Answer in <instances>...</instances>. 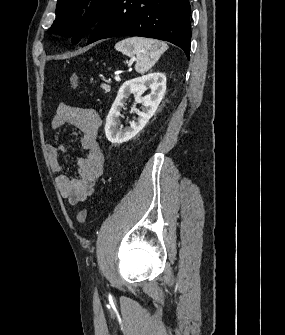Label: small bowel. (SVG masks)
<instances>
[{
    "instance_id": "small-bowel-1",
    "label": "small bowel",
    "mask_w": 285,
    "mask_h": 335,
    "mask_svg": "<svg viewBox=\"0 0 285 335\" xmlns=\"http://www.w3.org/2000/svg\"><path fill=\"white\" fill-rule=\"evenodd\" d=\"M101 117L93 108L71 106L60 103L51 121L52 129L71 126L79 135L84 156L75 162L76 175L65 172L60 161L65 148L62 145H49L47 153L52 171L57 173L56 185L63 198L72 205L85 201L94 192L96 183L104 172L105 156L98 142Z\"/></svg>"
}]
</instances>
